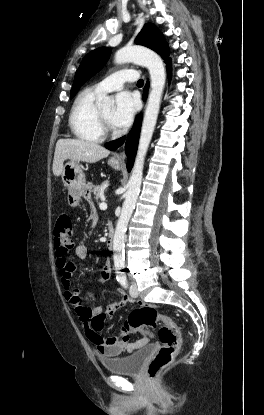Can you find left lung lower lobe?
I'll return each instance as SVG.
<instances>
[{"instance_id":"1","label":"left lung lower lobe","mask_w":264,"mask_h":415,"mask_svg":"<svg viewBox=\"0 0 264 415\" xmlns=\"http://www.w3.org/2000/svg\"><path fill=\"white\" fill-rule=\"evenodd\" d=\"M166 68L168 72V77H171V60L166 62ZM149 83L146 84L144 88V95L143 99L146 100L147 92H148ZM140 125H141V115H139L136 118L135 124L128 134V136H124L122 138H119L117 140L111 141L109 143L105 144V147L109 150H116L119 146H121L124 142L125 143V153L128 157L129 163L127 164L128 171L131 170L134 162V158L137 151V145H138V139H139V133H140Z\"/></svg>"}]
</instances>
